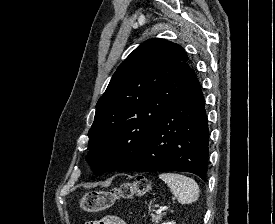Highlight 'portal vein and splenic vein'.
Here are the masks:
<instances>
[{
	"label": "portal vein and splenic vein",
	"instance_id": "portal-vein-and-splenic-vein-1",
	"mask_svg": "<svg viewBox=\"0 0 275 224\" xmlns=\"http://www.w3.org/2000/svg\"><path fill=\"white\" fill-rule=\"evenodd\" d=\"M168 208H169L168 206L161 207L156 211V213L161 214L163 211H166Z\"/></svg>",
	"mask_w": 275,
	"mask_h": 224
}]
</instances>
